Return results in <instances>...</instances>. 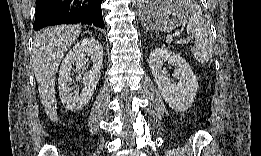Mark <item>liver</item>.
<instances>
[{
	"instance_id": "1",
	"label": "liver",
	"mask_w": 261,
	"mask_h": 156,
	"mask_svg": "<svg viewBox=\"0 0 261 156\" xmlns=\"http://www.w3.org/2000/svg\"><path fill=\"white\" fill-rule=\"evenodd\" d=\"M80 33V25H59L43 29L34 41L32 59L40 100L53 122L57 121L55 76L64 54Z\"/></svg>"
}]
</instances>
